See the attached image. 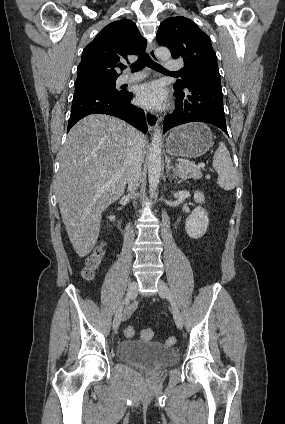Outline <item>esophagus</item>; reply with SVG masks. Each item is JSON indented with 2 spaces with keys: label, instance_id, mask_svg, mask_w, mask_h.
Masks as SVG:
<instances>
[{
  "label": "esophagus",
  "instance_id": "esophagus-1",
  "mask_svg": "<svg viewBox=\"0 0 285 424\" xmlns=\"http://www.w3.org/2000/svg\"><path fill=\"white\" fill-rule=\"evenodd\" d=\"M148 52H149V55H150L152 60L158 61L154 43H151L149 45ZM145 118H146V122H147L149 130H151V131L155 130L156 127L158 126V122H159L158 115L154 112L145 111Z\"/></svg>",
  "mask_w": 285,
  "mask_h": 424
}]
</instances>
